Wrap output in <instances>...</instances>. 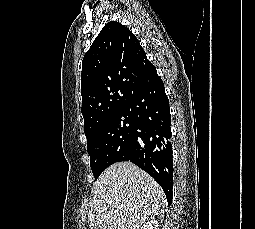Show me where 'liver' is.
Listing matches in <instances>:
<instances>
[{"mask_svg":"<svg viewBox=\"0 0 255 229\" xmlns=\"http://www.w3.org/2000/svg\"><path fill=\"white\" fill-rule=\"evenodd\" d=\"M91 199L90 229H139L166 204L159 184L131 162L108 167L95 182Z\"/></svg>","mask_w":255,"mask_h":229,"instance_id":"obj_1","label":"liver"}]
</instances>
